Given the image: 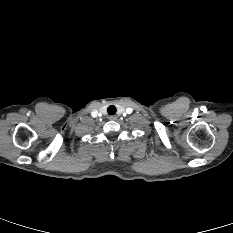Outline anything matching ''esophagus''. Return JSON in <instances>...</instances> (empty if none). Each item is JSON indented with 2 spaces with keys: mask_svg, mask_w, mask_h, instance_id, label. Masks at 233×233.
<instances>
[{
  "mask_svg": "<svg viewBox=\"0 0 233 233\" xmlns=\"http://www.w3.org/2000/svg\"><path fill=\"white\" fill-rule=\"evenodd\" d=\"M109 119H110V120H116V119H117V116L111 115V116H109Z\"/></svg>",
  "mask_w": 233,
  "mask_h": 233,
  "instance_id": "1",
  "label": "esophagus"
}]
</instances>
